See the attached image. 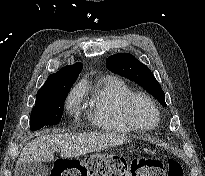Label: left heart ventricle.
I'll return each mask as SVG.
<instances>
[{"instance_id": "1", "label": "left heart ventricle", "mask_w": 205, "mask_h": 176, "mask_svg": "<svg viewBox=\"0 0 205 176\" xmlns=\"http://www.w3.org/2000/svg\"><path fill=\"white\" fill-rule=\"evenodd\" d=\"M134 117L139 124L144 126L154 125L157 119L154 110L144 101H138L135 104Z\"/></svg>"}]
</instances>
